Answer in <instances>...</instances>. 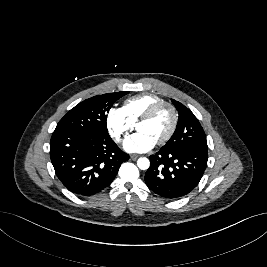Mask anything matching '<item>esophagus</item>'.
I'll return each mask as SVG.
<instances>
[{
	"mask_svg": "<svg viewBox=\"0 0 267 267\" xmlns=\"http://www.w3.org/2000/svg\"><path fill=\"white\" fill-rule=\"evenodd\" d=\"M138 155H136V154H132V155H130V158L132 159V160H136V159H138Z\"/></svg>",
	"mask_w": 267,
	"mask_h": 267,
	"instance_id": "34e87169",
	"label": "esophagus"
}]
</instances>
